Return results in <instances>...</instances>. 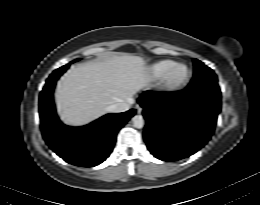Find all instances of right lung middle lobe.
Instances as JSON below:
<instances>
[{
  "label": "right lung middle lobe",
  "instance_id": "right-lung-middle-lobe-1",
  "mask_svg": "<svg viewBox=\"0 0 260 205\" xmlns=\"http://www.w3.org/2000/svg\"><path fill=\"white\" fill-rule=\"evenodd\" d=\"M75 61H77V60H75ZM75 61H73V62H75ZM64 68H67V67H69V64H67V65H65V66H63Z\"/></svg>",
  "mask_w": 260,
  "mask_h": 205
}]
</instances>
